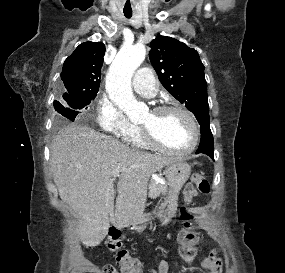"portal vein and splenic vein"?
Masks as SVG:
<instances>
[{
	"instance_id": "18ae733b",
	"label": "portal vein and splenic vein",
	"mask_w": 285,
	"mask_h": 273,
	"mask_svg": "<svg viewBox=\"0 0 285 273\" xmlns=\"http://www.w3.org/2000/svg\"><path fill=\"white\" fill-rule=\"evenodd\" d=\"M119 173H120L119 168L113 169L111 172L112 179L115 180L117 177H119Z\"/></svg>"
}]
</instances>
